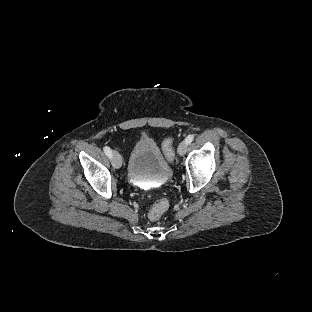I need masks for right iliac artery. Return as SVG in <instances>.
<instances>
[{
  "instance_id": "1",
  "label": "right iliac artery",
  "mask_w": 312,
  "mask_h": 312,
  "mask_svg": "<svg viewBox=\"0 0 312 312\" xmlns=\"http://www.w3.org/2000/svg\"><path fill=\"white\" fill-rule=\"evenodd\" d=\"M103 150H104L105 154H106L109 158L112 157V151H111V149H110L109 147L105 146V147L103 148Z\"/></svg>"
}]
</instances>
